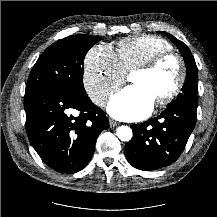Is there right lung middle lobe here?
<instances>
[{
	"mask_svg": "<svg viewBox=\"0 0 217 217\" xmlns=\"http://www.w3.org/2000/svg\"><path fill=\"white\" fill-rule=\"evenodd\" d=\"M99 39V36L73 35L50 45L33 66L25 94L62 89L85 95L84 58Z\"/></svg>",
	"mask_w": 217,
	"mask_h": 217,
	"instance_id": "dd1d6c3e",
	"label": "right lung middle lobe"
}]
</instances>
